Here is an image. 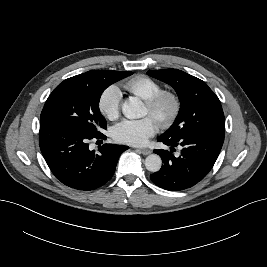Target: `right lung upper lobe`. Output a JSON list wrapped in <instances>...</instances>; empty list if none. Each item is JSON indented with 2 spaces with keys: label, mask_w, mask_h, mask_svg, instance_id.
I'll list each match as a JSON object with an SVG mask.
<instances>
[{
  "label": "right lung upper lobe",
  "mask_w": 267,
  "mask_h": 267,
  "mask_svg": "<svg viewBox=\"0 0 267 267\" xmlns=\"http://www.w3.org/2000/svg\"><path fill=\"white\" fill-rule=\"evenodd\" d=\"M101 71H102V70L88 71V72H86V73H83V74L74 76L73 78H87V77L96 75V74H98V73L101 72Z\"/></svg>",
  "instance_id": "1"
}]
</instances>
